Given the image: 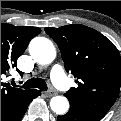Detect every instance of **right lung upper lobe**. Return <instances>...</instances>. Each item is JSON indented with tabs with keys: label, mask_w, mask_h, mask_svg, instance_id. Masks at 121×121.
Segmentation results:
<instances>
[{
	"label": "right lung upper lobe",
	"mask_w": 121,
	"mask_h": 121,
	"mask_svg": "<svg viewBox=\"0 0 121 121\" xmlns=\"http://www.w3.org/2000/svg\"><path fill=\"white\" fill-rule=\"evenodd\" d=\"M41 32L38 27L1 24V75L14 68L17 59L24 53L30 40ZM20 75L22 72L17 69ZM30 90L13 88L1 82V114L7 111L23 95Z\"/></svg>",
	"instance_id": "obj_1"
}]
</instances>
